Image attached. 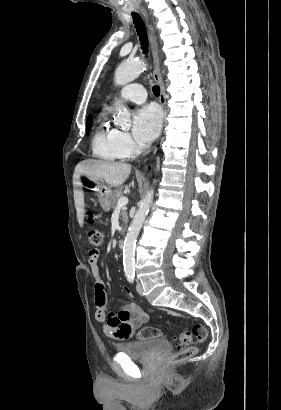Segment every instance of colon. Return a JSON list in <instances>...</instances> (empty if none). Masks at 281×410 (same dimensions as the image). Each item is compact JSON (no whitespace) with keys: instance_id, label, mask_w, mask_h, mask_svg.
Returning a JSON list of instances; mask_svg holds the SVG:
<instances>
[{"instance_id":"5ec220e1","label":"colon","mask_w":281,"mask_h":410,"mask_svg":"<svg viewBox=\"0 0 281 410\" xmlns=\"http://www.w3.org/2000/svg\"><path fill=\"white\" fill-rule=\"evenodd\" d=\"M88 239L92 246H100L103 240L102 233L97 229H90L88 231ZM136 336L140 340L151 339V338H162L163 333L160 329L146 326L139 329ZM208 336L207 329L196 324L193 328H189L187 325L183 328L182 333L177 338V345L179 351L174 353L170 357L171 364L181 363L189 358H191L196 353V347L192 345L193 339L195 338L198 342H203Z\"/></svg>"}]
</instances>
